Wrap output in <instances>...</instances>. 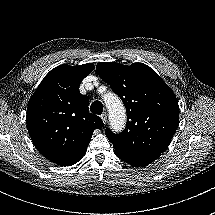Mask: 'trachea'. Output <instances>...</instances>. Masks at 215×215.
<instances>
[{"instance_id": "obj_1", "label": "trachea", "mask_w": 215, "mask_h": 215, "mask_svg": "<svg viewBox=\"0 0 215 215\" xmlns=\"http://www.w3.org/2000/svg\"><path fill=\"white\" fill-rule=\"evenodd\" d=\"M90 110L92 113L100 115L103 112V104L100 101H94L92 102L90 106Z\"/></svg>"}]
</instances>
